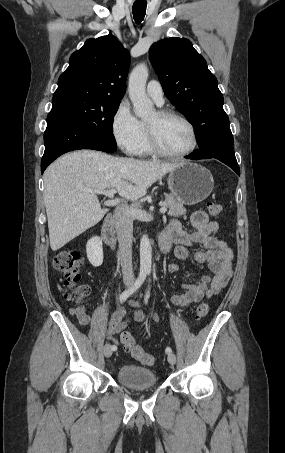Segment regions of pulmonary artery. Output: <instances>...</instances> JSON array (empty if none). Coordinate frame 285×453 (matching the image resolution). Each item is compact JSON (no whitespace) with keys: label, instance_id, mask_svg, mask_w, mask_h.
Returning a JSON list of instances; mask_svg holds the SVG:
<instances>
[{"label":"pulmonary artery","instance_id":"pulmonary-artery-1","mask_svg":"<svg viewBox=\"0 0 285 453\" xmlns=\"http://www.w3.org/2000/svg\"><path fill=\"white\" fill-rule=\"evenodd\" d=\"M147 94L157 105L164 103L163 89L158 81L151 80L147 84Z\"/></svg>","mask_w":285,"mask_h":453}]
</instances>
